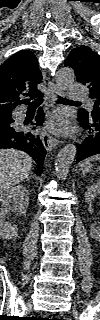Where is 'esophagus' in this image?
I'll return each instance as SVG.
<instances>
[{
  "label": "esophagus",
  "mask_w": 100,
  "mask_h": 320,
  "mask_svg": "<svg viewBox=\"0 0 100 320\" xmlns=\"http://www.w3.org/2000/svg\"><path fill=\"white\" fill-rule=\"evenodd\" d=\"M49 90L51 93V101H54V99L62 94L61 89L54 83L49 82L48 83ZM40 139L42 140V143L47 151H52L54 148L57 147L59 144V141L54 138L52 135L48 133L46 128L44 127L40 133Z\"/></svg>",
  "instance_id": "34e87169"
}]
</instances>
